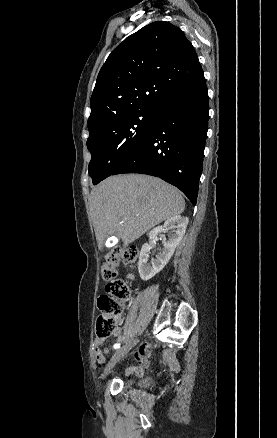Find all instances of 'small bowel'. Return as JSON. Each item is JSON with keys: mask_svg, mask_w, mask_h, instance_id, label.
Returning <instances> with one entry per match:
<instances>
[{"mask_svg": "<svg viewBox=\"0 0 277 438\" xmlns=\"http://www.w3.org/2000/svg\"><path fill=\"white\" fill-rule=\"evenodd\" d=\"M112 336H113L117 341H120L121 338H122V330H121L120 328H117V329L112 333ZM103 342H104V339H100V338H97V339H96V345H97V346H99V345L102 344ZM148 347H149L148 344H147V343H144V344L141 346L139 352L136 354L137 359H138L141 363H143L145 366L147 365V363H146V358L149 356ZM103 353H104L105 355H108V354L110 353V350H109L108 348H105V349L103 350ZM93 354H94V355H97V357H96L97 362H99V363L104 362L105 357H104V355L100 354V349H99V348H94V349H93ZM129 372H135L136 374L140 375V374H142L143 371H142V369H140V368H135V369H131V370H129Z\"/></svg>", "mask_w": 277, "mask_h": 438, "instance_id": "obj_1", "label": "small bowel"}]
</instances>
